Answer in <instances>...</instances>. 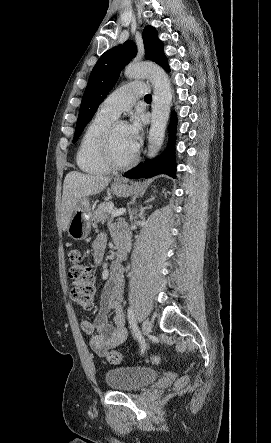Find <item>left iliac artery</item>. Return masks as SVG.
I'll return each instance as SVG.
<instances>
[{"label": "left iliac artery", "instance_id": "left-iliac-artery-1", "mask_svg": "<svg viewBox=\"0 0 271 443\" xmlns=\"http://www.w3.org/2000/svg\"><path fill=\"white\" fill-rule=\"evenodd\" d=\"M127 317H128L129 324H130V326H131V328L133 330V333H134L136 339L138 340V342L140 344L141 353H144L145 350H146L147 344H146V342H145V340H144V338H143V336H142V334H141V332H140V330H139V328L137 326L134 311L130 307L127 310Z\"/></svg>", "mask_w": 271, "mask_h": 443}]
</instances>
